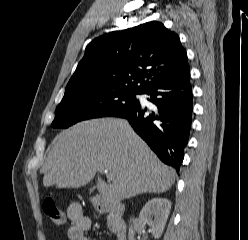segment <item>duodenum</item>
I'll use <instances>...</instances> for the list:
<instances>
[{"instance_id": "1", "label": "duodenum", "mask_w": 248, "mask_h": 240, "mask_svg": "<svg viewBox=\"0 0 248 240\" xmlns=\"http://www.w3.org/2000/svg\"><path fill=\"white\" fill-rule=\"evenodd\" d=\"M97 210L101 214H108L112 220L116 240H127V226L123 220L124 205L117 201L98 199L95 202Z\"/></svg>"}]
</instances>
